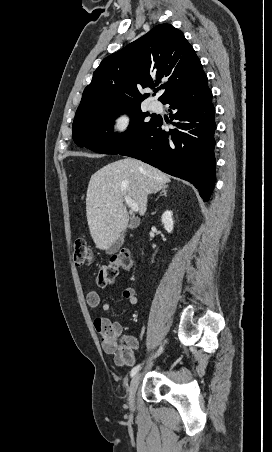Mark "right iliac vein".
<instances>
[{"label":"right iliac vein","instance_id":"right-iliac-vein-1","mask_svg":"<svg viewBox=\"0 0 272 452\" xmlns=\"http://www.w3.org/2000/svg\"><path fill=\"white\" fill-rule=\"evenodd\" d=\"M140 381H141V373H137L136 375H134V377L132 378V380L130 382V387H129V391H128V402H129L130 408L132 410H134L135 394H136V390L139 386Z\"/></svg>","mask_w":272,"mask_h":452}]
</instances>
